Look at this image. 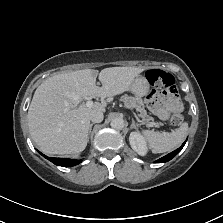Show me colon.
I'll use <instances>...</instances> for the list:
<instances>
[{
    "mask_svg": "<svg viewBox=\"0 0 223 223\" xmlns=\"http://www.w3.org/2000/svg\"><path fill=\"white\" fill-rule=\"evenodd\" d=\"M146 79L152 85L162 87L163 89L168 90L169 92H177L175 79L174 77L162 70H148L145 74ZM184 117L180 112H176L172 118L171 122L173 125H181L183 123Z\"/></svg>",
    "mask_w": 223,
    "mask_h": 223,
    "instance_id": "5ec220e1",
    "label": "colon"
}]
</instances>
